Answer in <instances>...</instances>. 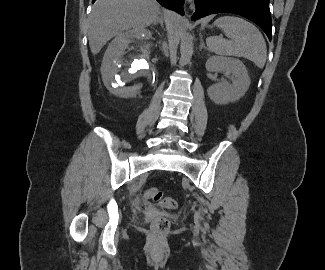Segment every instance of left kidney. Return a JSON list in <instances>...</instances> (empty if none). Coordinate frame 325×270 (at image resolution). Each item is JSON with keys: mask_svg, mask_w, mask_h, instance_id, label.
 <instances>
[{"mask_svg": "<svg viewBox=\"0 0 325 270\" xmlns=\"http://www.w3.org/2000/svg\"><path fill=\"white\" fill-rule=\"evenodd\" d=\"M205 67L209 72H229L234 77L232 84L223 81L208 88V96L216 104L222 105L238 101L250 86L251 80L247 69L239 59L211 56Z\"/></svg>", "mask_w": 325, "mask_h": 270, "instance_id": "1", "label": "left kidney"}]
</instances>
